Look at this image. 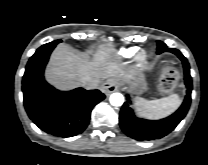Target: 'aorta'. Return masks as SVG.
<instances>
[{"mask_svg":"<svg viewBox=\"0 0 208 165\" xmlns=\"http://www.w3.org/2000/svg\"><path fill=\"white\" fill-rule=\"evenodd\" d=\"M109 101L112 106L119 107L124 103V96L121 93H113L110 95Z\"/></svg>","mask_w":208,"mask_h":165,"instance_id":"aorta-1","label":"aorta"}]
</instances>
